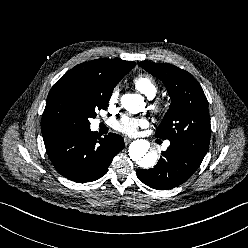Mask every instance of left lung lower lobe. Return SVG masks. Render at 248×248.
Here are the masks:
<instances>
[{
  "label": "left lung lower lobe",
  "instance_id": "left-lung-lower-lobe-1",
  "mask_svg": "<svg viewBox=\"0 0 248 248\" xmlns=\"http://www.w3.org/2000/svg\"><path fill=\"white\" fill-rule=\"evenodd\" d=\"M204 157L188 152L184 148L170 144L162 152L157 165L148 170H137V176L147 186L167 190L189 179L200 166Z\"/></svg>",
  "mask_w": 248,
  "mask_h": 248
}]
</instances>
